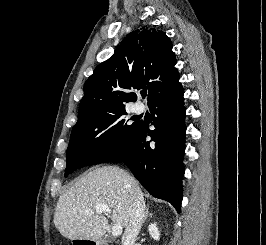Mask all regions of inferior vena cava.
Wrapping results in <instances>:
<instances>
[{
  "mask_svg": "<svg viewBox=\"0 0 266 245\" xmlns=\"http://www.w3.org/2000/svg\"><path fill=\"white\" fill-rule=\"evenodd\" d=\"M129 191H131L130 219L128 227H126L122 235V245H134L135 239L140 233L144 217L145 203L139 187L137 189H129Z\"/></svg>",
  "mask_w": 266,
  "mask_h": 245,
  "instance_id": "1",
  "label": "inferior vena cava"
}]
</instances>
